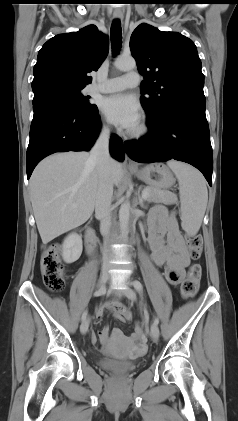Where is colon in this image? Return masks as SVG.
I'll use <instances>...</instances> for the list:
<instances>
[{"instance_id": "1", "label": "colon", "mask_w": 238, "mask_h": 421, "mask_svg": "<svg viewBox=\"0 0 238 421\" xmlns=\"http://www.w3.org/2000/svg\"><path fill=\"white\" fill-rule=\"evenodd\" d=\"M188 245L191 258L193 260H198L202 253V238L200 236L189 237ZM40 268L43 281L48 289L53 292L63 290L66 282V273L59 256L58 247H50L43 253ZM200 277V265L193 264L189 269L187 278L181 285V297L183 299H189L196 294L199 287Z\"/></svg>"}]
</instances>
